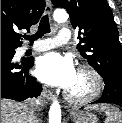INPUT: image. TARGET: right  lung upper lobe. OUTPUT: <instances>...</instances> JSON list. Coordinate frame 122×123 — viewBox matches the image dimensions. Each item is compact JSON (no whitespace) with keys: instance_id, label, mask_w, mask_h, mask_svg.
<instances>
[{"instance_id":"1","label":"right lung upper lobe","mask_w":122,"mask_h":123,"mask_svg":"<svg viewBox=\"0 0 122 123\" xmlns=\"http://www.w3.org/2000/svg\"><path fill=\"white\" fill-rule=\"evenodd\" d=\"M45 9L43 0H1V48L22 45L19 30L29 31Z\"/></svg>"}]
</instances>
